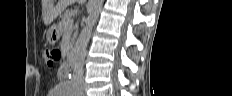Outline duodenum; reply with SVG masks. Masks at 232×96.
<instances>
[{
	"instance_id": "1",
	"label": "duodenum",
	"mask_w": 232,
	"mask_h": 96,
	"mask_svg": "<svg viewBox=\"0 0 232 96\" xmlns=\"http://www.w3.org/2000/svg\"><path fill=\"white\" fill-rule=\"evenodd\" d=\"M74 53H75V49L73 47H71L68 50L67 59H66V62L63 65V68H62V75L64 77H68L71 70L73 69V66H74Z\"/></svg>"
}]
</instances>
